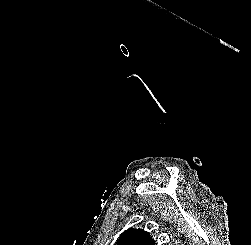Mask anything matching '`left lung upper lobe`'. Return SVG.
<instances>
[{
	"mask_svg": "<svg viewBox=\"0 0 251 245\" xmlns=\"http://www.w3.org/2000/svg\"><path fill=\"white\" fill-rule=\"evenodd\" d=\"M115 245H155V241L144 230L128 229L120 235Z\"/></svg>",
	"mask_w": 251,
	"mask_h": 245,
	"instance_id": "left-lung-upper-lobe-1",
	"label": "left lung upper lobe"
}]
</instances>
